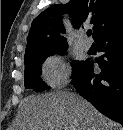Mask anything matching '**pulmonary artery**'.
<instances>
[{
  "instance_id": "pulmonary-artery-1",
  "label": "pulmonary artery",
  "mask_w": 123,
  "mask_h": 130,
  "mask_svg": "<svg viewBox=\"0 0 123 130\" xmlns=\"http://www.w3.org/2000/svg\"><path fill=\"white\" fill-rule=\"evenodd\" d=\"M81 47L84 49V50H89L90 47H91V42L90 40H88L87 38H83L81 40V43H80Z\"/></svg>"
}]
</instances>
